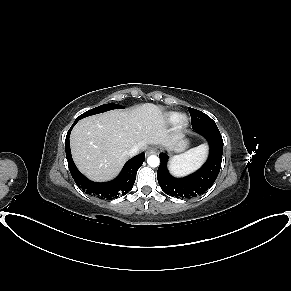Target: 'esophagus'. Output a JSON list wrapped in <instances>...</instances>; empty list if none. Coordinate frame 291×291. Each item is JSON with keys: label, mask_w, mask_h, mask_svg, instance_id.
<instances>
[{"label": "esophagus", "mask_w": 291, "mask_h": 291, "mask_svg": "<svg viewBox=\"0 0 291 291\" xmlns=\"http://www.w3.org/2000/svg\"><path fill=\"white\" fill-rule=\"evenodd\" d=\"M157 152V149L156 148H150L148 150V154H155Z\"/></svg>", "instance_id": "34e87169"}]
</instances>
